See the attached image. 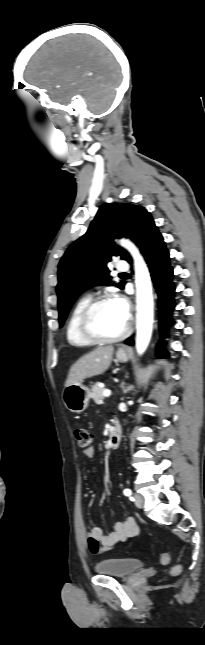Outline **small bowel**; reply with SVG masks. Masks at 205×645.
<instances>
[{
  "mask_svg": "<svg viewBox=\"0 0 205 645\" xmlns=\"http://www.w3.org/2000/svg\"><path fill=\"white\" fill-rule=\"evenodd\" d=\"M86 458H93L95 450L88 447L82 451ZM139 528L135 520L128 516L122 521H117L112 531L104 532L99 526H94L87 534V545L92 554H100L112 549L117 543L123 542L136 536Z\"/></svg>",
  "mask_w": 205,
  "mask_h": 645,
  "instance_id": "small-bowel-1",
  "label": "small bowel"
}]
</instances>
